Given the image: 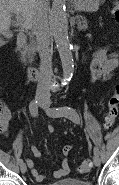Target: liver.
<instances>
[{
	"instance_id": "obj_1",
	"label": "liver",
	"mask_w": 119,
	"mask_h": 185,
	"mask_svg": "<svg viewBox=\"0 0 119 185\" xmlns=\"http://www.w3.org/2000/svg\"><path fill=\"white\" fill-rule=\"evenodd\" d=\"M42 0H0V35L9 32L11 15L20 14L22 29L33 26L35 11ZM45 4L47 0H44ZM4 44L0 38V46Z\"/></svg>"
}]
</instances>
